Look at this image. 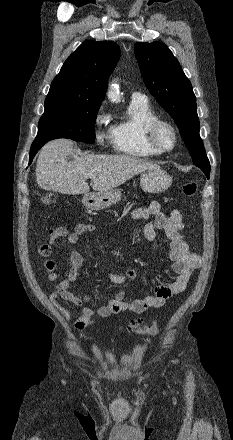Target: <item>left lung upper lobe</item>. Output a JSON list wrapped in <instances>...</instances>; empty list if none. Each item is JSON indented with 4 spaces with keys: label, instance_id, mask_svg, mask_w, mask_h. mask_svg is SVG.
<instances>
[{
    "label": "left lung upper lobe",
    "instance_id": "left-lung-upper-lobe-1",
    "mask_svg": "<svg viewBox=\"0 0 233 440\" xmlns=\"http://www.w3.org/2000/svg\"><path fill=\"white\" fill-rule=\"evenodd\" d=\"M134 52L146 87L174 119L193 163H209L199 135L196 98L178 60L161 42L136 43Z\"/></svg>",
    "mask_w": 233,
    "mask_h": 440
}]
</instances>
